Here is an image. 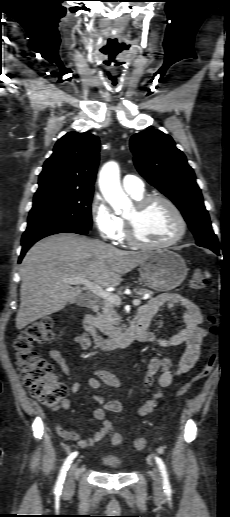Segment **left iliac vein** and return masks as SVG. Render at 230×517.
<instances>
[{"label":"left iliac vein","mask_w":230,"mask_h":517,"mask_svg":"<svg viewBox=\"0 0 230 517\" xmlns=\"http://www.w3.org/2000/svg\"><path fill=\"white\" fill-rule=\"evenodd\" d=\"M151 477L153 479V488L156 495L162 496L164 494L163 480L161 473L156 466L153 467Z\"/></svg>","instance_id":"1"}]
</instances>
